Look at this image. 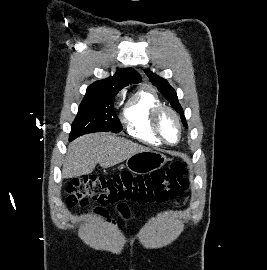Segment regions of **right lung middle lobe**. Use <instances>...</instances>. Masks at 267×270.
I'll use <instances>...</instances> for the list:
<instances>
[{
    "label": "right lung middle lobe",
    "mask_w": 267,
    "mask_h": 270,
    "mask_svg": "<svg viewBox=\"0 0 267 270\" xmlns=\"http://www.w3.org/2000/svg\"><path fill=\"white\" fill-rule=\"evenodd\" d=\"M118 92L117 90L86 91L72 124L70 140L87 133L121 131L122 124L114 110V99Z\"/></svg>",
    "instance_id": "dd1d6c3e"
}]
</instances>
